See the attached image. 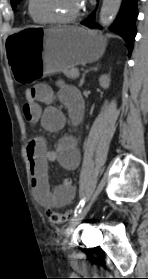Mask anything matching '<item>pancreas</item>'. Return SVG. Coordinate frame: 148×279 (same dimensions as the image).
I'll list each match as a JSON object with an SVG mask.
<instances>
[{
	"label": "pancreas",
	"instance_id": "1",
	"mask_svg": "<svg viewBox=\"0 0 148 279\" xmlns=\"http://www.w3.org/2000/svg\"><path fill=\"white\" fill-rule=\"evenodd\" d=\"M63 73L67 78H70L73 80H75L79 77V71H78V69H76L74 67H66L63 70Z\"/></svg>",
	"mask_w": 148,
	"mask_h": 279
}]
</instances>
